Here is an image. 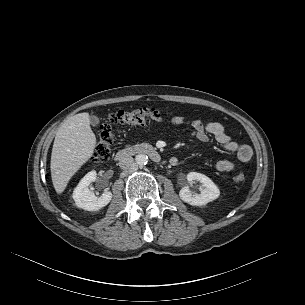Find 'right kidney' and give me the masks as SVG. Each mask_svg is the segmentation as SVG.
Instances as JSON below:
<instances>
[{"mask_svg":"<svg viewBox=\"0 0 305 305\" xmlns=\"http://www.w3.org/2000/svg\"><path fill=\"white\" fill-rule=\"evenodd\" d=\"M96 171L88 172L79 182L73 191V199L78 208L97 211L105 207L112 199V193L105 191L100 197H97L94 192L89 190V185L96 181Z\"/></svg>","mask_w":305,"mask_h":305,"instance_id":"1","label":"right kidney"}]
</instances>
